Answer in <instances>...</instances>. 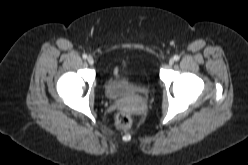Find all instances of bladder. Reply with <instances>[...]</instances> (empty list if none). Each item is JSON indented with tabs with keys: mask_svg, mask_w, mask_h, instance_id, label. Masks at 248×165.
Instances as JSON below:
<instances>
[{
	"mask_svg": "<svg viewBox=\"0 0 248 165\" xmlns=\"http://www.w3.org/2000/svg\"><path fill=\"white\" fill-rule=\"evenodd\" d=\"M105 94L110 99H121L135 95H146L150 91L148 84L136 82L129 74L120 79L109 78L105 83Z\"/></svg>",
	"mask_w": 248,
	"mask_h": 165,
	"instance_id": "1",
	"label": "bladder"
}]
</instances>
